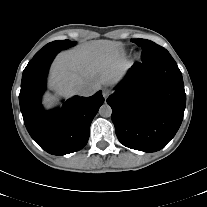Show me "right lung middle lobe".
<instances>
[{
    "label": "right lung middle lobe",
    "mask_w": 207,
    "mask_h": 207,
    "mask_svg": "<svg viewBox=\"0 0 207 207\" xmlns=\"http://www.w3.org/2000/svg\"><path fill=\"white\" fill-rule=\"evenodd\" d=\"M75 42H70L69 40H57L45 45L42 49H40L34 57H38L43 54L56 52L58 53L61 50L67 49L70 46L74 45ZM33 57V58H34Z\"/></svg>",
    "instance_id": "1"
}]
</instances>
